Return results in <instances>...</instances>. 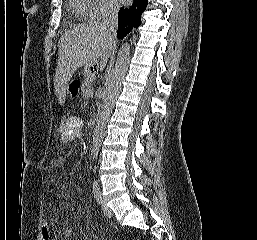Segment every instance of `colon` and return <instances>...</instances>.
I'll use <instances>...</instances> for the list:
<instances>
[{
	"mask_svg": "<svg viewBox=\"0 0 257 240\" xmlns=\"http://www.w3.org/2000/svg\"><path fill=\"white\" fill-rule=\"evenodd\" d=\"M81 80L78 77H74L68 84V93L72 97H76L79 93ZM40 237L41 240H50V229L47 220H43L40 225Z\"/></svg>",
	"mask_w": 257,
	"mask_h": 240,
	"instance_id": "1",
	"label": "colon"
}]
</instances>
